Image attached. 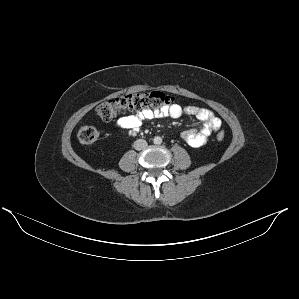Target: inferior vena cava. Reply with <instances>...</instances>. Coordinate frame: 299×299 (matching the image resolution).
Segmentation results:
<instances>
[{"label": "inferior vena cava", "instance_id": "602c4592", "mask_svg": "<svg viewBox=\"0 0 299 299\" xmlns=\"http://www.w3.org/2000/svg\"><path fill=\"white\" fill-rule=\"evenodd\" d=\"M133 146L136 150L139 151L145 149L148 146V143L144 139H138L134 142Z\"/></svg>", "mask_w": 299, "mask_h": 299}]
</instances>
